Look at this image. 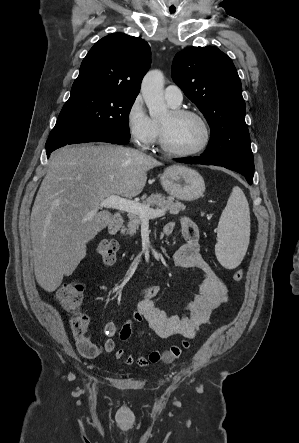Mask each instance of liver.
<instances>
[{
	"label": "liver",
	"instance_id": "6515ba94",
	"mask_svg": "<svg viewBox=\"0 0 299 443\" xmlns=\"http://www.w3.org/2000/svg\"><path fill=\"white\" fill-rule=\"evenodd\" d=\"M159 165L139 150L112 145L67 146L51 155L30 218L35 277L45 291L75 271L87 243L111 223L101 202L138 196L147 171Z\"/></svg>",
	"mask_w": 299,
	"mask_h": 443
}]
</instances>
